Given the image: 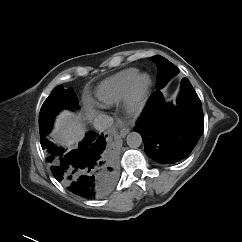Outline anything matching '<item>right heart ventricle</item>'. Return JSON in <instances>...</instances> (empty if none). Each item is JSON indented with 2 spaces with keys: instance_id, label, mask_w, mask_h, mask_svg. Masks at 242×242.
<instances>
[{
  "instance_id": "e07e8e85",
  "label": "right heart ventricle",
  "mask_w": 242,
  "mask_h": 242,
  "mask_svg": "<svg viewBox=\"0 0 242 242\" xmlns=\"http://www.w3.org/2000/svg\"><path fill=\"white\" fill-rule=\"evenodd\" d=\"M138 74L135 68L125 69L103 80L95 90L102 106H112L124 99L133 79Z\"/></svg>"
}]
</instances>
